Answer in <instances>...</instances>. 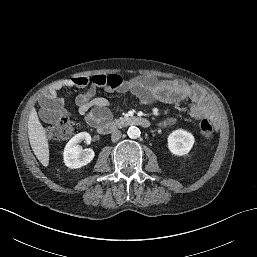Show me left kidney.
Wrapping results in <instances>:
<instances>
[{"label":"left kidney","mask_w":257,"mask_h":257,"mask_svg":"<svg viewBox=\"0 0 257 257\" xmlns=\"http://www.w3.org/2000/svg\"><path fill=\"white\" fill-rule=\"evenodd\" d=\"M168 149L177 156H183L192 149L195 139L194 136L183 129L173 131L168 136Z\"/></svg>","instance_id":"1"}]
</instances>
